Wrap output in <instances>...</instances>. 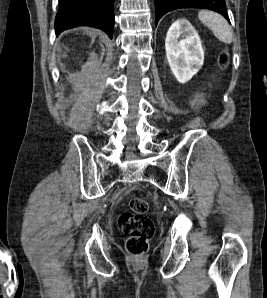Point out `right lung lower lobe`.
Segmentation results:
<instances>
[{
	"label": "right lung lower lobe",
	"mask_w": 267,
	"mask_h": 298,
	"mask_svg": "<svg viewBox=\"0 0 267 298\" xmlns=\"http://www.w3.org/2000/svg\"><path fill=\"white\" fill-rule=\"evenodd\" d=\"M114 0H59L55 19V32L78 27L92 26L105 31L110 38L114 30Z\"/></svg>",
	"instance_id": "1"
}]
</instances>
